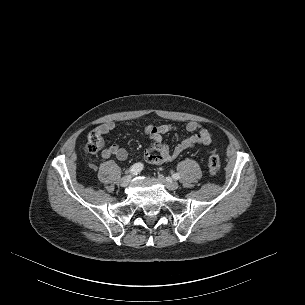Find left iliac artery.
<instances>
[{
	"label": "left iliac artery",
	"instance_id": "1",
	"mask_svg": "<svg viewBox=\"0 0 305 305\" xmlns=\"http://www.w3.org/2000/svg\"><path fill=\"white\" fill-rule=\"evenodd\" d=\"M173 179L178 180L180 178L178 173L172 174Z\"/></svg>",
	"mask_w": 305,
	"mask_h": 305
}]
</instances>
